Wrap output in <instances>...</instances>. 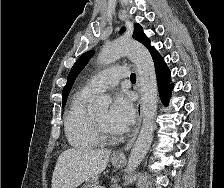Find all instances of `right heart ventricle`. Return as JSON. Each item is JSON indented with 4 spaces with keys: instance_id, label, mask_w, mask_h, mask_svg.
I'll list each match as a JSON object with an SVG mask.
<instances>
[{
    "instance_id": "1",
    "label": "right heart ventricle",
    "mask_w": 224,
    "mask_h": 188,
    "mask_svg": "<svg viewBox=\"0 0 224 188\" xmlns=\"http://www.w3.org/2000/svg\"><path fill=\"white\" fill-rule=\"evenodd\" d=\"M95 95L82 89L78 91L65 113V133L69 143L78 149L97 146L99 140L92 127L90 103Z\"/></svg>"
}]
</instances>
